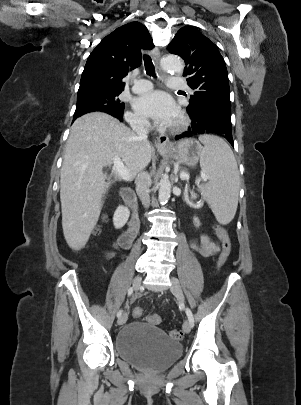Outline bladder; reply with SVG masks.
<instances>
[{"instance_id": "obj_1", "label": "bladder", "mask_w": 301, "mask_h": 405, "mask_svg": "<svg viewBox=\"0 0 301 405\" xmlns=\"http://www.w3.org/2000/svg\"><path fill=\"white\" fill-rule=\"evenodd\" d=\"M115 350L120 358L135 367L160 372L179 358L182 346L158 327L131 322L117 333Z\"/></svg>"}]
</instances>
